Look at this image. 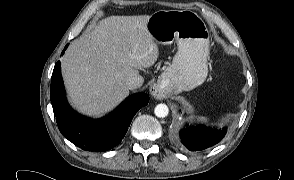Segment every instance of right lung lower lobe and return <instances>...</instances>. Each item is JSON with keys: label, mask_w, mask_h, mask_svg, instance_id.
Instances as JSON below:
<instances>
[{"label": "right lung lower lobe", "mask_w": 294, "mask_h": 180, "mask_svg": "<svg viewBox=\"0 0 294 180\" xmlns=\"http://www.w3.org/2000/svg\"><path fill=\"white\" fill-rule=\"evenodd\" d=\"M50 98L58 128L64 137L83 150L99 152L107 151L119 144L133 116L149 102L146 94H135L105 118L92 120L83 117L73 111L66 101L59 61L55 64L51 78Z\"/></svg>", "instance_id": "obj_1"}]
</instances>
